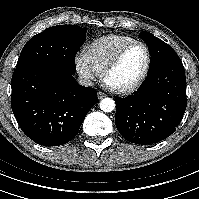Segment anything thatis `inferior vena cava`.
<instances>
[{
	"label": "inferior vena cava",
	"instance_id": "1",
	"mask_svg": "<svg viewBox=\"0 0 199 199\" xmlns=\"http://www.w3.org/2000/svg\"><path fill=\"white\" fill-rule=\"evenodd\" d=\"M78 83L82 86H92L93 85V81L89 78V77H86V76H83V75H80L78 77Z\"/></svg>",
	"mask_w": 199,
	"mask_h": 199
}]
</instances>
